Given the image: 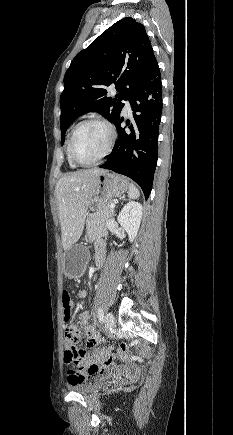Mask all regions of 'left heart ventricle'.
<instances>
[{
	"mask_svg": "<svg viewBox=\"0 0 233 435\" xmlns=\"http://www.w3.org/2000/svg\"><path fill=\"white\" fill-rule=\"evenodd\" d=\"M108 142L105 127L91 123L81 126L74 136L73 146L76 157L82 162L96 160Z\"/></svg>",
	"mask_w": 233,
	"mask_h": 435,
	"instance_id": "b2bd125f",
	"label": "left heart ventricle"
}]
</instances>
